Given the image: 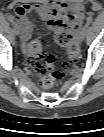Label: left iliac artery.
<instances>
[{
	"instance_id": "44dca946",
	"label": "left iliac artery",
	"mask_w": 104,
	"mask_h": 137,
	"mask_svg": "<svg viewBox=\"0 0 104 137\" xmlns=\"http://www.w3.org/2000/svg\"><path fill=\"white\" fill-rule=\"evenodd\" d=\"M91 23H92V17H88L86 27H88Z\"/></svg>"
}]
</instances>
